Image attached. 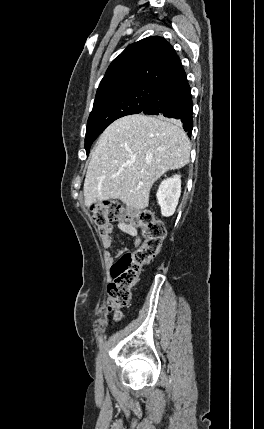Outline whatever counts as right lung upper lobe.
I'll return each mask as SVG.
<instances>
[{
	"label": "right lung upper lobe",
	"instance_id": "1",
	"mask_svg": "<svg viewBox=\"0 0 264 429\" xmlns=\"http://www.w3.org/2000/svg\"><path fill=\"white\" fill-rule=\"evenodd\" d=\"M180 66L178 55L164 38L142 39L129 45L112 61L96 97L138 84L159 86Z\"/></svg>",
	"mask_w": 264,
	"mask_h": 429
}]
</instances>
